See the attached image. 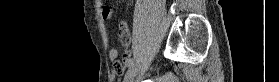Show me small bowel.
<instances>
[{
	"label": "small bowel",
	"instance_id": "small-bowel-1",
	"mask_svg": "<svg viewBox=\"0 0 279 82\" xmlns=\"http://www.w3.org/2000/svg\"><path fill=\"white\" fill-rule=\"evenodd\" d=\"M98 7L101 8V14L104 18H109L111 15V9L104 6V3L102 1H98ZM119 35L120 39L123 43V45L126 47V51L124 53L123 57V63L119 61V53L117 49L112 48L109 50V59L113 62V71L114 74L117 76H120L124 73L126 66L128 63L132 60L131 57V36L129 32L128 25L125 22L120 23L119 25ZM120 65L118 68H115V66Z\"/></svg>",
	"mask_w": 279,
	"mask_h": 82
}]
</instances>
